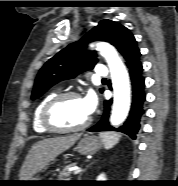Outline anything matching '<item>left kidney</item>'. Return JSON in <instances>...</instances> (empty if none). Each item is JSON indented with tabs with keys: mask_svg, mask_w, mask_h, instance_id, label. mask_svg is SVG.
<instances>
[{
	"mask_svg": "<svg viewBox=\"0 0 178 186\" xmlns=\"http://www.w3.org/2000/svg\"><path fill=\"white\" fill-rule=\"evenodd\" d=\"M96 181H107L106 175L104 173H101L98 175Z\"/></svg>",
	"mask_w": 178,
	"mask_h": 186,
	"instance_id": "5707ae66",
	"label": "left kidney"
}]
</instances>
